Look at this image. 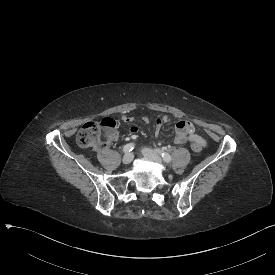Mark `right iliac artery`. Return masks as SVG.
Masks as SVG:
<instances>
[{"label":"right iliac artery","mask_w":275,"mask_h":275,"mask_svg":"<svg viewBox=\"0 0 275 275\" xmlns=\"http://www.w3.org/2000/svg\"><path fill=\"white\" fill-rule=\"evenodd\" d=\"M135 145L133 143H128L123 147L124 153H129L134 149Z\"/></svg>","instance_id":"1"}]
</instances>
